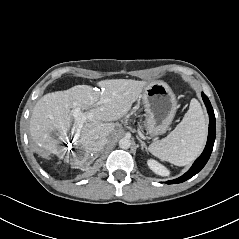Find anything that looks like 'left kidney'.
<instances>
[{
  "label": "left kidney",
  "instance_id": "1",
  "mask_svg": "<svg viewBox=\"0 0 239 239\" xmlns=\"http://www.w3.org/2000/svg\"><path fill=\"white\" fill-rule=\"evenodd\" d=\"M147 164L149 166V168L156 174L160 175V176H168L169 175V171L162 166L161 164H159L157 161L153 160V159H149L147 161Z\"/></svg>",
  "mask_w": 239,
  "mask_h": 239
}]
</instances>
